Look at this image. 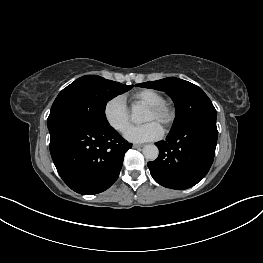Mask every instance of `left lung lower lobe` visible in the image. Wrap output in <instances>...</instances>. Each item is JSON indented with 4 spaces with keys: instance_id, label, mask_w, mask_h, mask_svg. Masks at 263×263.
<instances>
[{
    "instance_id": "0a47b994",
    "label": "left lung lower lobe",
    "mask_w": 263,
    "mask_h": 263,
    "mask_svg": "<svg viewBox=\"0 0 263 263\" xmlns=\"http://www.w3.org/2000/svg\"><path fill=\"white\" fill-rule=\"evenodd\" d=\"M217 137L216 120L171 131L165 141L156 143L158 158L147 163L151 176L160 185L176 190L196 185L213 163Z\"/></svg>"
}]
</instances>
